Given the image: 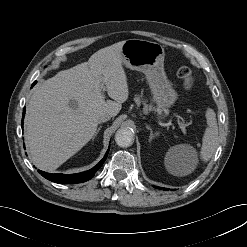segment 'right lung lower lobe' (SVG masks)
I'll list each match as a JSON object with an SVG mask.
<instances>
[{
	"label": "right lung lower lobe",
	"instance_id": "1",
	"mask_svg": "<svg viewBox=\"0 0 247 247\" xmlns=\"http://www.w3.org/2000/svg\"><path fill=\"white\" fill-rule=\"evenodd\" d=\"M34 84H36V81L32 84V86H34ZM24 115H25V108L23 109V116ZM22 127H23V118H22ZM107 153L104 156V158L95 167H93L92 169L88 171L82 172V173L65 175V174H50V173L43 172L41 170H38V172L46 179L53 181L55 183L74 184V183L85 182V181L90 180L94 176V174L97 172V170L102 166V164L107 158Z\"/></svg>",
	"mask_w": 247,
	"mask_h": 247
}]
</instances>
